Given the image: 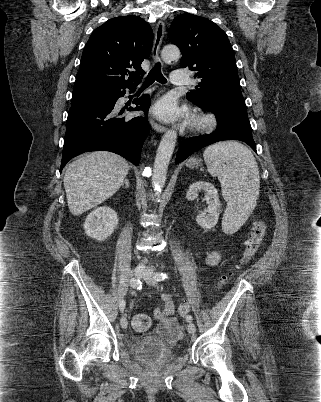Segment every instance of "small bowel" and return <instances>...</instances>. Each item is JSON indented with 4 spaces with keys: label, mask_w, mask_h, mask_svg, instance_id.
Here are the masks:
<instances>
[{
    "label": "small bowel",
    "mask_w": 321,
    "mask_h": 402,
    "mask_svg": "<svg viewBox=\"0 0 321 402\" xmlns=\"http://www.w3.org/2000/svg\"><path fill=\"white\" fill-rule=\"evenodd\" d=\"M221 255L218 251H211L206 256V263L215 266L219 263ZM164 307L154 310V316L158 320L157 333L169 342H176L182 337L178 321L173 317L175 313L174 303L169 295H164Z\"/></svg>",
    "instance_id": "obj_1"
}]
</instances>
